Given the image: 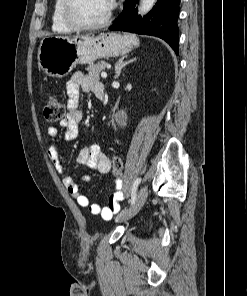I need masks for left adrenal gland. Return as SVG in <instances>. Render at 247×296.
Returning a JSON list of instances; mask_svg holds the SVG:
<instances>
[{
	"label": "left adrenal gland",
	"instance_id": "left-adrenal-gland-1",
	"mask_svg": "<svg viewBox=\"0 0 247 296\" xmlns=\"http://www.w3.org/2000/svg\"><path fill=\"white\" fill-rule=\"evenodd\" d=\"M125 58H127V56H124V57L120 58L119 61L115 65V76H114L115 79L119 77V75L121 73V70L126 65H128L129 63H132L133 61L136 60V58H133V59H130L128 61H124Z\"/></svg>",
	"mask_w": 247,
	"mask_h": 296
}]
</instances>
